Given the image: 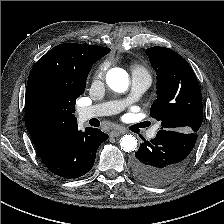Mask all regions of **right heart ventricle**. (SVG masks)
I'll use <instances>...</instances> for the list:
<instances>
[{
  "label": "right heart ventricle",
  "mask_w": 224,
  "mask_h": 224,
  "mask_svg": "<svg viewBox=\"0 0 224 224\" xmlns=\"http://www.w3.org/2000/svg\"><path fill=\"white\" fill-rule=\"evenodd\" d=\"M145 70L141 67V66H139V65H135L134 67H133V72L134 73H139V72H144Z\"/></svg>",
  "instance_id": "e07e8e85"
}]
</instances>
